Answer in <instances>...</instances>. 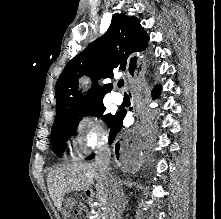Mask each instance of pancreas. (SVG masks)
<instances>
[{
    "label": "pancreas",
    "instance_id": "1",
    "mask_svg": "<svg viewBox=\"0 0 221 219\" xmlns=\"http://www.w3.org/2000/svg\"><path fill=\"white\" fill-rule=\"evenodd\" d=\"M94 219H101V216L99 213H96L95 216H94Z\"/></svg>",
    "mask_w": 221,
    "mask_h": 219
}]
</instances>
